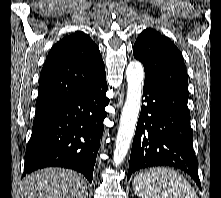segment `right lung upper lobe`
Returning a JSON list of instances; mask_svg holds the SVG:
<instances>
[{
    "label": "right lung upper lobe",
    "mask_w": 221,
    "mask_h": 198,
    "mask_svg": "<svg viewBox=\"0 0 221 198\" xmlns=\"http://www.w3.org/2000/svg\"><path fill=\"white\" fill-rule=\"evenodd\" d=\"M97 45L81 31L64 37L50 50L41 71L36 113L89 87L105 76Z\"/></svg>",
    "instance_id": "obj_1"
}]
</instances>
